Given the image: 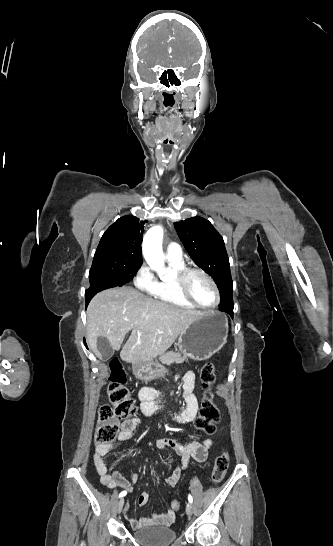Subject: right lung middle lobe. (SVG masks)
Instances as JSON below:
<instances>
[{"label": "right lung middle lobe", "instance_id": "right-lung-middle-lobe-1", "mask_svg": "<svg viewBox=\"0 0 333 546\" xmlns=\"http://www.w3.org/2000/svg\"><path fill=\"white\" fill-rule=\"evenodd\" d=\"M140 266H133L125 255L117 253H96L89 272L90 288L105 284L122 286L128 283L137 273Z\"/></svg>", "mask_w": 333, "mask_h": 546}]
</instances>
